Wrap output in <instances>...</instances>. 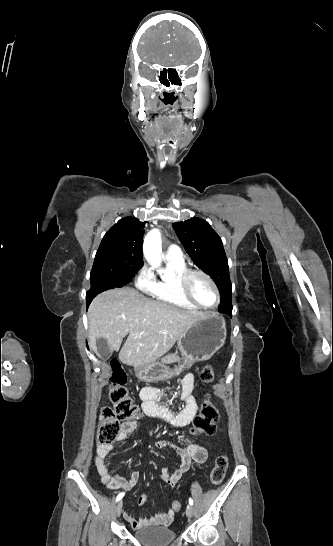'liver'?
Segmentation results:
<instances>
[{"label":"liver","instance_id":"6515ba94","mask_svg":"<svg viewBox=\"0 0 333 546\" xmlns=\"http://www.w3.org/2000/svg\"><path fill=\"white\" fill-rule=\"evenodd\" d=\"M199 311L179 309L146 298L129 287L111 289L97 295L88 310L89 345L97 350L103 338L111 351L119 350V360L128 366L154 363L167 353L184 332L204 318Z\"/></svg>","mask_w":333,"mask_h":546}]
</instances>
